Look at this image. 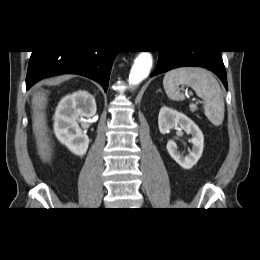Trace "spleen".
<instances>
[{
    "label": "spleen",
    "mask_w": 260,
    "mask_h": 260,
    "mask_svg": "<svg viewBox=\"0 0 260 260\" xmlns=\"http://www.w3.org/2000/svg\"><path fill=\"white\" fill-rule=\"evenodd\" d=\"M180 85L192 87L197 96L205 101L204 113L214 126H220L224 119V99L221 87L211 72L184 67L167 72L163 78L164 90L173 101H183L185 96L178 91Z\"/></svg>",
    "instance_id": "3e777b00"
}]
</instances>
